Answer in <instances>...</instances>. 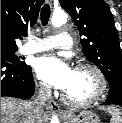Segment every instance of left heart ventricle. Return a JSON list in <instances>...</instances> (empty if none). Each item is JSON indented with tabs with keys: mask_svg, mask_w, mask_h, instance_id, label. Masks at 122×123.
Instances as JSON below:
<instances>
[{
	"mask_svg": "<svg viewBox=\"0 0 122 123\" xmlns=\"http://www.w3.org/2000/svg\"><path fill=\"white\" fill-rule=\"evenodd\" d=\"M100 83L94 71L88 68L75 69L70 86L65 93L73 100L83 101L95 96Z\"/></svg>",
	"mask_w": 122,
	"mask_h": 123,
	"instance_id": "1",
	"label": "left heart ventricle"
}]
</instances>
